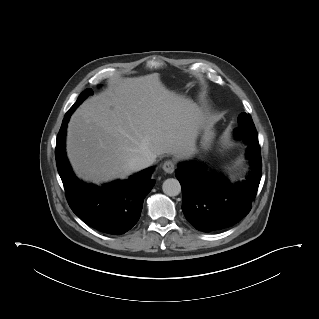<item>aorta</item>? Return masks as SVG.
<instances>
[{"label":"aorta","instance_id":"762f6f07","mask_svg":"<svg viewBox=\"0 0 319 319\" xmlns=\"http://www.w3.org/2000/svg\"><path fill=\"white\" fill-rule=\"evenodd\" d=\"M163 192L170 196H177L181 192V185L177 179L169 178L163 182Z\"/></svg>","mask_w":319,"mask_h":319}]
</instances>
